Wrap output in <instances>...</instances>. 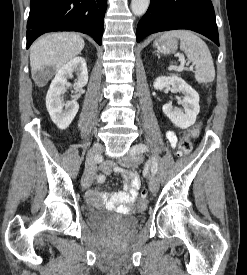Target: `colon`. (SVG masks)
Wrapping results in <instances>:
<instances>
[{
    "label": "colon",
    "instance_id": "colon-1",
    "mask_svg": "<svg viewBox=\"0 0 247 275\" xmlns=\"http://www.w3.org/2000/svg\"><path fill=\"white\" fill-rule=\"evenodd\" d=\"M200 125H195L191 127L181 138L178 145V155H188L192 151V142L191 140L197 137L200 133ZM148 202V195L146 191H142L139 197L138 206L140 209L146 207Z\"/></svg>",
    "mask_w": 247,
    "mask_h": 275
}]
</instances>
